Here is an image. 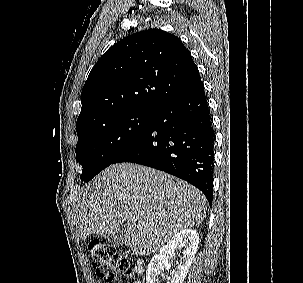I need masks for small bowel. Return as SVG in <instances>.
I'll use <instances>...</instances> for the list:
<instances>
[{"instance_id":"small-bowel-1","label":"small bowel","mask_w":303,"mask_h":283,"mask_svg":"<svg viewBox=\"0 0 303 283\" xmlns=\"http://www.w3.org/2000/svg\"><path fill=\"white\" fill-rule=\"evenodd\" d=\"M135 271H136V272H140V271H141L140 267H136V268H135ZM136 283H139V282H136Z\"/></svg>"}]
</instances>
